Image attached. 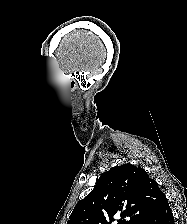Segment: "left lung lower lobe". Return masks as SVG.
Here are the masks:
<instances>
[{"mask_svg": "<svg viewBox=\"0 0 187 224\" xmlns=\"http://www.w3.org/2000/svg\"><path fill=\"white\" fill-rule=\"evenodd\" d=\"M147 224H174V217L164 194L160 196L157 207Z\"/></svg>", "mask_w": 187, "mask_h": 224, "instance_id": "0a47b994", "label": "left lung lower lobe"}]
</instances>
